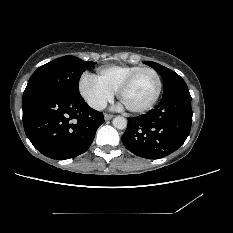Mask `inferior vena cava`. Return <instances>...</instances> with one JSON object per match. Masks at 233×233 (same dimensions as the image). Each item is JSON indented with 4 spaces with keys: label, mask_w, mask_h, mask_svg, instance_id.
Here are the masks:
<instances>
[{
    "label": "inferior vena cava",
    "mask_w": 233,
    "mask_h": 233,
    "mask_svg": "<svg viewBox=\"0 0 233 233\" xmlns=\"http://www.w3.org/2000/svg\"><path fill=\"white\" fill-rule=\"evenodd\" d=\"M91 107L96 110H103L106 108V102L105 101H95L92 102Z\"/></svg>",
    "instance_id": "602c4592"
}]
</instances>
